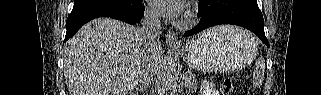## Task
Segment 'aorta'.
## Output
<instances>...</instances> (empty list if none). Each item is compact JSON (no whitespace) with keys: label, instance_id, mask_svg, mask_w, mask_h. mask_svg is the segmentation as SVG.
<instances>
[{"label":"aorta","instance_id":"aorta-1","mask_svg":"<svg viewBox=\"0 0 321 95\" xmlns=\"http://www.w3.org/2000/svg\"><path fill=\"white\" fill-rule=\"evenodd\" d=\"M178 77L177 56L175 53H170L165 58V63L160 75V95H175Z\"/></svg>","mask_w":321,"mask_h":95}]
</instances>
